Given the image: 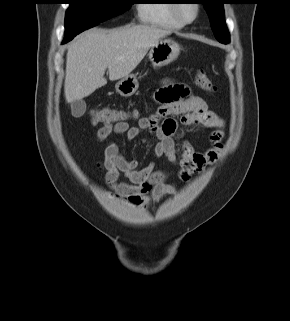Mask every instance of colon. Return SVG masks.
<instances>
[{
	"label": "colon",
	"instance_id": "obj_1",
	"mask_svg": "<svg viewBox=\"0 0 290 321\" xmlns=\"http://www.w3.org/2000/svg\"><path fill=\"white\" fill-rule=\"evenodd\" d=\"M194 81L198 87L207 93H214L216 91L215 85L212 83L203 69L196 71ZM129 118L130 114L115 108L105 107L92 111V123L94 125H112L125 122Z\"/></svg>",
	"mask_w": 290,
	"mask_h": 321
}]
</instances>
